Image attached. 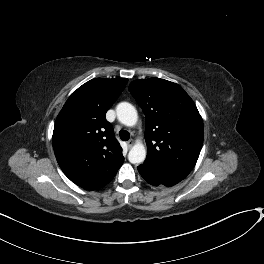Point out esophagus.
<instances>
[{
	"label": "esophagus",
	"mask_w": 264,
	"mask_h": 264,
	"mask_svg": "<svg viewBox=\"0 0 264 264\" xmlns=\"http://www.w3.org/2000/svg\"><path fill=\"white\" fill-rule=\"evenodd\" d=\"M133 145H134V141L132 139L127 141L128 148H131Z\"/></svg>",
	"instance_id": "1"
}]
</instances>
